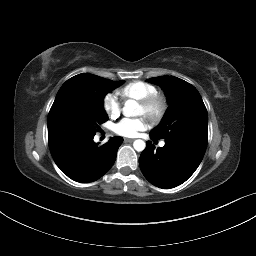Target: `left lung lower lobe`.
Returning <instances> with one entry per match:
<instances>
[{
  "label": "left lung lower lobe",
  "mask_w": 256,
  "mask_h": 256,
  "mask_svg": "<svg viewBox=\"0 0 256 256\" xmlns=\"http://www.w3.org/2000/svg\"><path fill=\"white\" fill-rule=\"evenodd\" d=\"M152 140H155L152 138ZM146 142L139 158L140 169L153 185L169 189L185 182L201 163L205 151L182 142H166L164 147Z\"/></svg>",
  "instance_id": "left-lung-lower-lobe-1"
}]
</instances>
